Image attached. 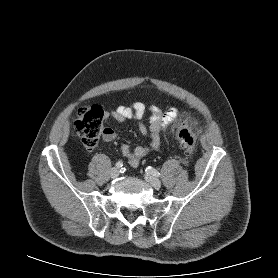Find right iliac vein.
I'll use <instances>...</instances> for the list:
<instances>
[{
    "label": "right iliac vein",
    "mask_w": 278,
    "mask_h": 278,
    "mask_svg": "<svg viewBox=\"0 0 278 278\" xmlns=\"http://www.w3.org/2000/svg\"><path fill=\"white\" fill-rule=\"evenodd\" d=\"M119 173H120L119 168L114 167L110 171V176H111V178L115 179V178H117L119 176Z\"/></svg>",
    "instance_id": "right-iliac-vein-1"
}]
</instances>
